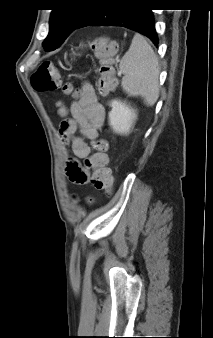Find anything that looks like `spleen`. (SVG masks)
<instances>
[{"label":"spleen","mask_w":213,"mask_h":338,"mask_svg":"<svg viewBox=\"0 0 213 338\" xmlns=\"http://www.w3.org/2000/svg\"><path fill=\"white\" fill-rule=\"evenodd\" d=\"M124 74L121 86L129 96H140L148 106L159 97L158 57L147 40L135 34L129 50L119 64Z\"/></svg>","instance_id":"spleen-1"}]
</instances>
